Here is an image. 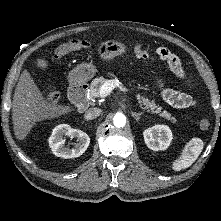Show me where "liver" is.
<instances>
[{
  "label": "liver",
  "instance_id": "1",
  "mask_svg": "<svg viewBox=\"0 0 221 221\" xmlns=\"http://www.w3.org/2000/svg\"><path fill=\"white\" fill-rule=\"evenodd\" d=\"M37 65L45 68L47 63L38 59ZM70 111L69 106L48 103L28 70L22 72L12 101L13 128L17 139L23 140L36 122L57 118Z\"/></svg>",
  "mask_w": 221,
  "mask_h": 221
}]
</instances>
